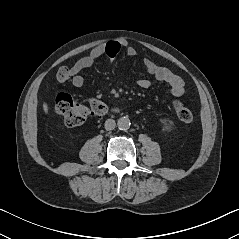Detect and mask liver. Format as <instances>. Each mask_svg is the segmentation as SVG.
<instances>
[{"instance_id": "obj_1", "label": "liver", "mask_w": 239, "mask_h": 239, "mask_svg": "<svg viewBox=\"0 0 239 239\" xmlns=\"http://www.w3.org/2000/svg\"><path fill=\"white\" fill-rule=\"evenodd\" d=\"M43 110H44L45 113L48 112V106H47L46 103L43 104Z\"/></svg>"}]
</instances>
